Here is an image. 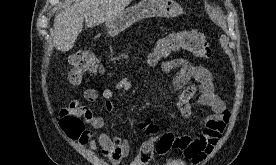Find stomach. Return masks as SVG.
I'll return each instance as SVG.
<instances>
[{"label": "stomach", "mask_w": 276, "mask_h": 165, "mask_svg": "<svg viewBox=\"0 0 276 165\" xmlns=\"http://www.w3.org/2000/svg\"><path fill=\"white\" fill-rule=\"evenodd\" d=\"M181 14V6L174 0H142L108 21L106 28L110 36H116L139 20L149 17L174 18Z\"/></svg>", "instance_id": "stomach-1"}]
</instances>
